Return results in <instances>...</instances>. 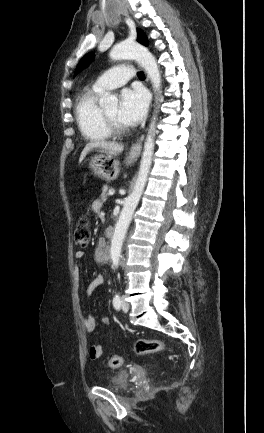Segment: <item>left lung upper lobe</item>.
Returning <instances> with one entry per match:
<instances>
[{"instance_id":"1","label":"left lung upper lobe","mask_w":264,"mask_h":433,"mask_svg":"<svg viewBox=\"0 0 264 433\" xmlns=\"http://www.w3.org/2000/svg\"><path fill=\"white\" fill-rule=\"evenodd\" d=\"M138 41L144 45L148 44V40L146 35L144 34V32L140 29H138V37H137ZM94 55L93 54H87L85 55L81 61L79 62V64L77 65L76 71H75V76L84 68H86L93 60Z\"/></svg>"}]
</instances>
